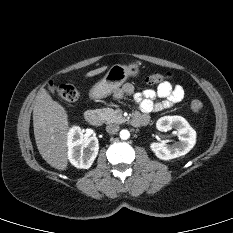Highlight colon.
<instances>
[{
	"label": "colon",
	"mask_w": 233,
	"mask_h": 233,
	"mask_svg": "<svg viewBox=\"0 0 233 233\" xmlns=\"http://www.w3.org/2000/svg\"><path fill=\"white\" fill-rule=\"evenodd\" d=\"M171 78L172 75L170 73H160L154 71L146 77L145 81L150 85H160L162 83L169 82ZM49 90L53 94L60 96L62 99L68 102H74L80 97V92L70 83L58 84L51 82L49 85ZM190 106L192 111L197 113L202 109L203 103L196 99L191 102Z\"/></svg>",
	"instance_id": "colon-1"
}]
</instances>
